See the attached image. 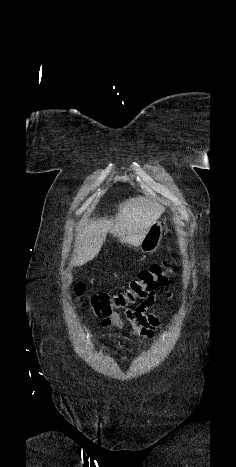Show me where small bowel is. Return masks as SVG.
<instances>
[{
    "mask_svg": "<svg viewBox=\"0 0 236 467\" xmlns=\"http://www.w3.org/2000/svg\"><path fill=\"white\" fill-rule=\"evenodd\" d=\"M170 296L171 293H167V297L170 298ZM154 305L155 295L151 294L142 300L135 308L126 307L122 310V314L131 323L133 331L143 337L142 342L152 339L157 329L161 326L160 318L155 312L147 313L148 309ZM100 323L104 327L113 325L118 329L123 328L124 325L121 315L117 312L103 317ZM120 343L122 346H125L123 338Z\"/></svg>",
    "mask_w": 236,
    "mask_h": 467,
    "instance_id": "obj_1",
    "label": "small bowel"
}]
</instances>
